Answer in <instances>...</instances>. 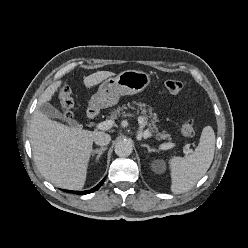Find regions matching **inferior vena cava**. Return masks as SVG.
<instances>
[{
    "instance_id": "inferior-vena-cava-1",
    "label": "inferior vena cava",
    "mask_w": 248,
    "mask_h": 248,
    "mask_svg": "<svg viewBox=\"0 0 248 248\" xmlns=\"http://www.w3.org/2000/svg\"><path fill=\"white\" fill-rule=\"evenodd\" d=\"M110 141H111V136L107 133H104V132H99L94 137L95 144H97L99 146H106L110 143Z\"/></svg>"
}]
</instances>
